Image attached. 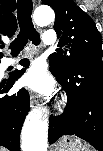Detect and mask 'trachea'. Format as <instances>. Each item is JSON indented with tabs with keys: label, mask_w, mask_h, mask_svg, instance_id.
Wrapping results in <instances>:
<instances>
[{
	"label": "trachea",
	"mask_w": 103,
	"mask_h": 151,
	"mask_svg": "<svg viewBox=\"0 0 103 151\" xmlns=\"http://www.w3.org/2000/svg\"><path fill=\"white\" fill-rule=\"evenodd\" d=\"M32 9L33 5L31 0H18L17 16L19 20L20 33L9 47L12 50V54H18L22 51L28 40L32 41L34 45L40 44V36L32 23Z\"/></svg>",
	"instance_id": "trachea-1"
}]
</instances>
